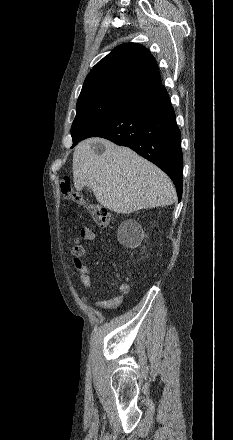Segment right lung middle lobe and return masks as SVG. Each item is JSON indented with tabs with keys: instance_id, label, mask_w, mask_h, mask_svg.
Returning a JSON list of instances; mask_svg holds the SVG:
<instances>
[{
	"instance_id": "dd1d6c3e",
	"label": "right lung middle lobe",
	"mask_w": 233,
	"mask_h": 440,
	"mask_svg": "<svg viewBox=\"0 0 233 440\" xmlns=\"http://www.w3.org/2000/svg\"><path fill=\"white\" fill-rule=\"evenodd\" d=\"M127 102L111 99H95L77 102V114L71 128L72 148L90 133L105 124Z\"/></svg>"
}]
</instances>
